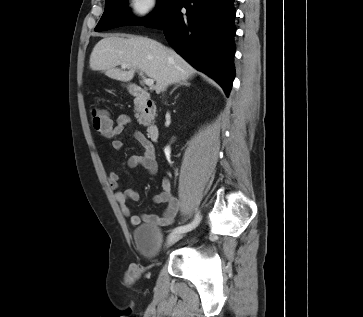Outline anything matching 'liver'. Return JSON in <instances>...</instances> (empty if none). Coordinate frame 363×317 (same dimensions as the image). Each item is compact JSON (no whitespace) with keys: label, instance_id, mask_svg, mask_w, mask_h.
<instances>
[{"label":"liver","instance_id":"obj_1","mask_svg":"<svg viewBox=\"0 0 363 317\" xmlns=\"http://www.w3.org/2000/svg\"><path fill=\"white\" fill-rule=\"evenodd\" d=\"M128 65V71L116 66ZM90 69L103 71L106 76L123 82L131 81L136 70L156 81L157 94L171 84L194 76L196 70L173 49L146 37L110 35L93 48Z\"/></svg>","mask_w":363,"mask_h":317}]
</instances>
